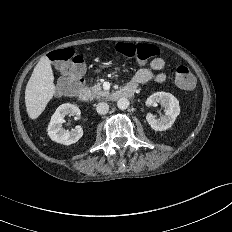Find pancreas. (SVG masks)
I'll return each mask as SVG.
<instances>
[{
	"label": "pancreas",
	"instance_id": "1",
	"mask_svg": "<svg viewBox=\"0 0 232 232\" xmlns=\"http://www.w3.org/2000/svg\"><path fill=\"white\" fill-rule=\"evenodd\" d=\"M90 92H91V97L97 99H101L109 95L108 91L102 90V87L99 83L91 87Z\"/></svg>",
	"mask_w": 232,
	"mask_h": 232
}]
</instances>
